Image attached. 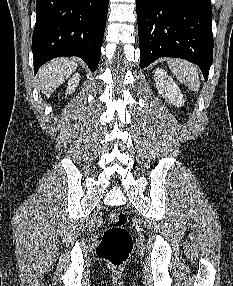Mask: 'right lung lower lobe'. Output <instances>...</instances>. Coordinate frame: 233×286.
Instances as JSON below:
<instances>
[{
  "label": "right lung lower lobe",
  "mask_w": 233,
  "mask_h": 286,
  "mask_svg": "<svg viewBox=\"0 0 233 286\" xmlns=\"http://www.w3.org/2000/svg\"><path fill=\"white\" fill-rule=\"evenodd\" d=\"M107 11L108 0H36L32 39L34 72L60 56L80 57L95 71Z\"/></svg>",
  "instance_id": "1"
}]
</instances>
